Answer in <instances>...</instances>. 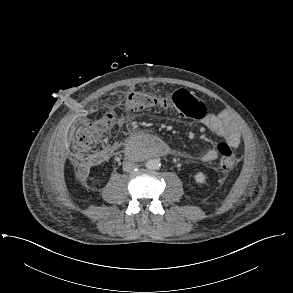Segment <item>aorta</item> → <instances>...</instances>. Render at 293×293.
Returning a JSON list of instances; mask_svg holds the SVG:
<instances>
[{
  "mask_svg": "<svg viewBox=\"0 0 293 293\" xmlns=\"http://www.w3.org/2000/svg\"><path fill=\"white\" fill-rule=\"evenodd\" d=\"M160 166H161V163L158 159H150L146 162V167L148 169L157 170L160 168Z\"/></svg>",
  "mask_w": 293,
  "mask_h": 293,
  "instance_id": "1",
  "label": "aorta"
}]
</instances>
